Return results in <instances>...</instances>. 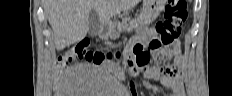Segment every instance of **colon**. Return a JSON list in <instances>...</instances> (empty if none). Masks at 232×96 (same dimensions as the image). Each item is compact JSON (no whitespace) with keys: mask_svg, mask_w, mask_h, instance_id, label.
Wrapping results in <instances>:
<instances>
[{"mask_svg":"<svg viewBox=\"0 0 232 96\" xmlns=\"http://www.w3.org/2000/svg\"><path fill=\"white\" fill-rule=\"evenodd\" d=\"M186 18L187 4L185 0H167L164 19L155 25V34L148 44V49L152 50L157 58L161 59L174 54V43L181 33ZM119 56V53L94 50L88 40H81L58 58L57 67L63 68L72 59L101 64ZM149 60V51L141 45H135L124 64L129 70L136 72L147 67Z\"/></svg>","mask_w":232,"mask_h":96,"instance_id":"5ec220e1","label":"colon"}]
</instances>
